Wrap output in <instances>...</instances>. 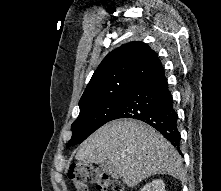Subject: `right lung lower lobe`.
Returning a JSON list of instances; mask_svg holds the SVG:
<instances>
[{"instance_id": "obj_1", "label": "right lung lower lobe", "mask_w": 221, "mask_h": 191, "mask_svg": "<svg viewBox=\"0 0 221 191\" xmlns=\"http://www.w3.org/2000/svg\"><path fill=\"white\" fill-rule=\"evenodd\" d=\"M119 118L141 120L158 130L176 149L180 148L178 116L163 68L127 93L111 120Z\"/></svg>"}]
</instances>
